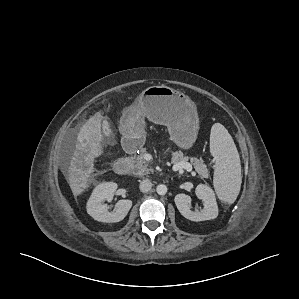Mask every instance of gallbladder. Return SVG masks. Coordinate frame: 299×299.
Here are the masks:
<instances>
[{
    "label": "gallbladder",
    "mask_w": 299,
    "mask_h": 299,
    "mask_svg": "<svg viewBox=\"0 0 299 299\" xmlns=\"http://www.w3.org/2000/svg\"><path fill=\"white\" fill-rule=\"evenodd\" d=\"M103 136L106 139L108 144H114L113 133H112V130L110 128V124L108 123V121H105V123H104Z\"/></svg>",
    "instance_id": "gallbladder-1"
}]
</instances>
